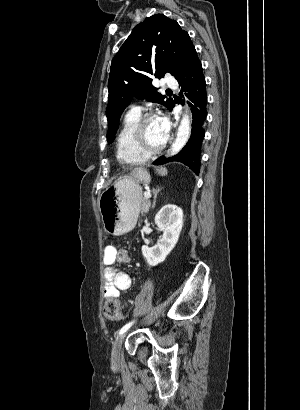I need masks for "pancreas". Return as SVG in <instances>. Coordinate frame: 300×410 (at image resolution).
Returning a JSON list of instances; mask_svg holds the SVG:
<instances>
[{
	"instance_id": "pancreas-1",
	"label": "pancreas",
	"mask_w": 300,
	"mask_h": 410,
	"mask_svg": "<svg viewBox=\"0 0 300 410\" xmlns=\"http://www.w3.org/2000/svg\"><path fill=\"white\" fill-rule=\"evenodd\" d=\"M150 207V201L147 198L141 200V213H147Z\"/></svg>"
}]
</instances>
